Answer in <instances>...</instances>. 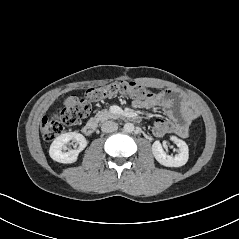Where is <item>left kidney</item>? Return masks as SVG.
<instances>
[{"mask_svg":"<svg viewBox=\"0 0 239 239\" xmlns=\"http://www.w3.org/2000/svg\"><path fill=\"white\" fill-rule=\"evenodd\" d=\"M172 141L176 143L179 147V153L175 156H170L165 153L162 148V145L159 141H155L152 145V153L155 159L161 164L166 167H181L185 165L188 161L189 154H188V146L187 144L178 139L175 136H171L170 138Z\"/></svg>","mask_w":239,"mask_h":239,"instance_id":"obj_1","label":"left kidney"}]
</instances>
